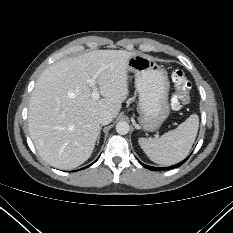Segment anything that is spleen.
I'll use <instances>...</instances> for the list:
<instances>
[{"mask_svg":"<svg viewBox=\"0 0 233 233\" xmlns=\"http://www.w3.org/2000/svg\"><path fill=\"white\" fill-rule=\"evenodd\" d=\"M199 127V117L192 114L176 129L160 138H140L141 148L151 161L161 165H172L182 161L189 154Z\"/></svg>","mask_w":233,"mask_h":233,"instance_id":"spleen-1","label":"spleen"}]
</instances>
